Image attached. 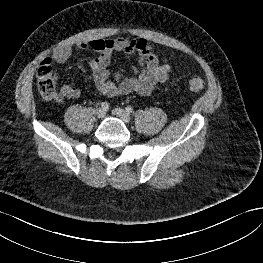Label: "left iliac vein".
Instances as JSON below:
<instances>
[{"label": "left iliac vein", "mask_w": 263, "mask_h": 263, "mask_svg": "<svg viewBox=\"0 0 263 263\" xmlns=\"http://www.w3.org/2000/svg\"><path fill=\"white\" fill-rule=\"evenodd\" d=\"M113 114L120 118L124 123H130V115L127 111L122 108H116L113 110Z\"/></svg>", "instance_id": "obj_1"}]
</instances>
